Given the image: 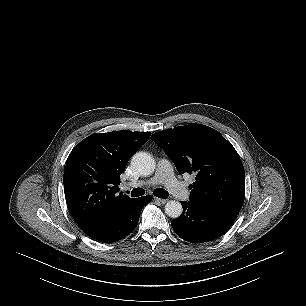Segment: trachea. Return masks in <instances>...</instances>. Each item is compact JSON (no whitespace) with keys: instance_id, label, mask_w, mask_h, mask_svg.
<instances>
[{"instance_id":"obj_1","label":"trachea","mask_w":306,"mask_h":306,"mask_svg":"<svg viewBox=\"0 0 306 306\" xmlns=\"http://www.w3.org/2000/svg\"><path fill=\"white\" fill-rule=\"evenodd\" d=\"M131 197H139L145 194V190L142 188H134L131 192L129 191ZM154 195L158 198H167L168 192L164 189L157 188L154 190Z\"/></svg>"}]
</instances>
